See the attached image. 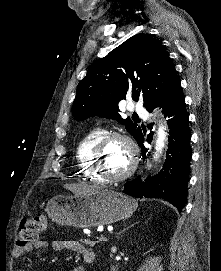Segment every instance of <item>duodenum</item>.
I'll return each mask as SVG.
<instances>
[{"label":"duodenum","instance_id":"1","mask_svg":"<svg viewBox=\"0 0 221 271\" xmlns=\"http://www.w3.org/2000/svg\"><path fill=\"white\" fill-rule=\"evenodd\" d=\"M94 259H95V256H94V255H89V256L86 257L85 260H86L87 262L91 263V262L94 261Z\"/></svg>","mask_w":221,"mask_h":271}]
</instances>
